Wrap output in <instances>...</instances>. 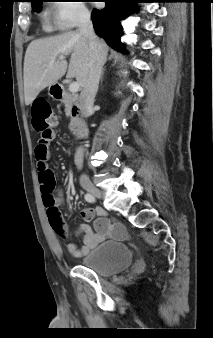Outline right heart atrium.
<instances>
[{
    "label": "right heart atrium",
    "mask_w": 213,
    "mask_h": 338,
    "mask_svg": "<svg viewBox=\"0 0 213 338\" xmlns=\"http://www.w3.org/2000/svg\"><path fill=\"white\" fill-rule=\"evenodd\" d=\"M88 11L79 2H60L54 6L53 23L62 29L78 26L88 19Z\"/></svg>",
    "instance_id": "right-heart-atrium-1"
}]
</instances>
